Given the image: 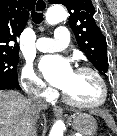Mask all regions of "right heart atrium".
<instances>
[{
	"label": "right heart atrium",
	"mask_w": 117,
	"mask_h": 136,
	"mask_svg": "<svg viewBox=\"0 0 117 136\" xmlns=\"http://www.w3.org/2000/svg\"><path fill=\"white\" fill-rule=\"evenodd\" d=\"M21 82L23 90L29 96L47 100L54 97V91L45 84L43 79L36 73L30 64H27L23 68Z\"/></svg>",
	"instance_id": "right-heart-atrium-1"
}]
</instances>
